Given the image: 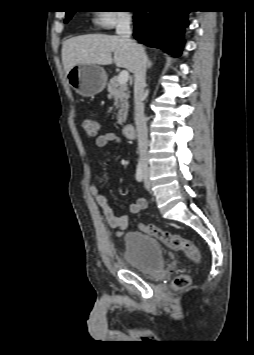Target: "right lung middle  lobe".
Returning a JSON list of instances; mask_svg holds the SVG:
<instances>
[{
    "label": "right lung middle lobe",
    "mask_w": 254,
    "mask_h": 355,
    "mask_svg": "<svg viewBox=\"0 0 254 355\" xmlns=\"http://www.w3.org/2000/svg\"><path fill=\"white\" fill-rule=\"evenodd\" d=\"M73 13H74V12H69V11L66 13V20H65V22H67V21L72 17Z\"/></svg>",
    "instance_id": "obj_1"
}]
</instances>
